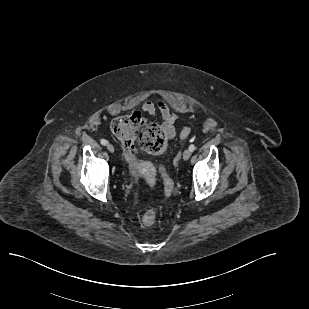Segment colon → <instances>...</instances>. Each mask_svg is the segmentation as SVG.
<instances>
[{
  "mask_svg": "<svg viewBox=\"0 0 309 309\" xmlns=\"http://www.w3.org/2000/svg\"><path fill=\"white\" fill-rule=\"evenodd\" d=\"M111 129L116 138L127 148L138 150L150 155L163 154L168 146L167 136L163 130L153 123H148L140 113L116 117L111 124ZM190 134L189 129L181 132V138ZM166 194L172 191V184L166 181ZM157 213L154 209L147 210L142 222L145 226H152L156 221Z\"/></svg>",
  "mask_w": 309,
  "mask_h": 309,
  "instance_id": "5ec220e1",
  "label": "colon"
}]
</instances>
